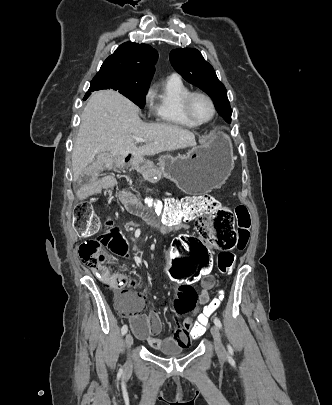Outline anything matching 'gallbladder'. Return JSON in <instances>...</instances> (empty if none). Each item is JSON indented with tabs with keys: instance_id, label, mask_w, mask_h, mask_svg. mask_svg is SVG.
<instances>
[{
	"instance_id": "1",
	"label": "gallbladder",
	"mask_w": 332,
	"mask_h": 405,
	"mask_svg": "<svg viewBox=\"0 0 332 405\" xmlns=\"http://www.w3.org/2000/svg\"><path fill=\"white\" fill-rule=\"evenodd\" d=\"M102 156V154H98L97 159H99Z\"/></svg>"
}]
</instances>
